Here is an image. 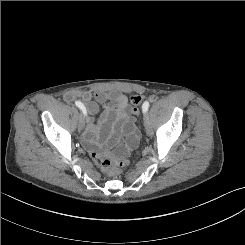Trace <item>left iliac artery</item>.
Returning a JSON list of instances; mask_svg holds the SVG:
<instances>
[{
  "instance_id": "44dca946",
  "label": "left iliac artery",
  "mask_w": 245,
  "mask_h": 245,
  "mask_svg": "<svg viewBox=\"0 0 245 245\" xmlns=\"http://www.w3.org/2000/svg\"><path fill=\"white\" fill-rule=\"evenodd\" d=\"M148 108H149V102L145 101L142 105L143 113H146L148 111Z\"/></svg>"
}]
</instances>
